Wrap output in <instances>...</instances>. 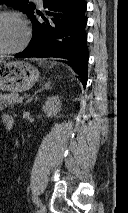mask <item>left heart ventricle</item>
I'll return each mask as SVG.
<instances>
[{"label": "left heart ventricle", "mask_w": 128, "mask_h": 213, "mask_svg": "<svg viewBox=\"0 0 128 213\" xmlns=\"http://www.w3.org/2000/svg\"><path fill=\"white\" fill-rule=\"evenodd\" d=\"M24 29L12 16H0V50L12 49L20 44Z\"/></svg>", "instance_id": "b2bd125f"}]
</instances>
